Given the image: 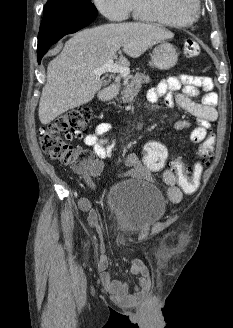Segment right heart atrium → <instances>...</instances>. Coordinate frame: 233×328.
Instances as JSON below:
<instances>
[{
    "instance_id": "obj_1",
    "label": "right heart atrium",
    "mask_w": 233,
    "mask_h": 328,
    "mask_svg": "<svg viewBox=\"0 0 233 328\" xmlns=\"http://www.w3.org/2000/svg\"><path fill=\"white\" fill-rule=\"evenodd\" d=\"M132 0H92L97 10L111 21H123L131 12Z\"/></svg>"
}]
</instances>
